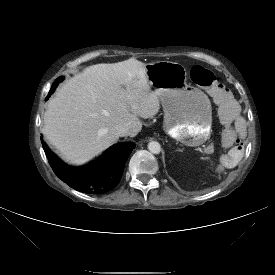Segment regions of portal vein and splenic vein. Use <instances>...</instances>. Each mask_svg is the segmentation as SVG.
<instances>
[{
    "label": "portal vein and splenic vein",
    "mask_w": 275,
    "mask_h": 275,
    "mask_svg": "<svg viewBox=\"0 0 275 275\" xmlns=\"http://www.w3.org/2000/svg\"><path fill=\"white\" fill-rule=\"evenodd\" d=\"M205 152L208 153V154L212 153L213 152V147L212 146L207 147L205 149Z\"/></svg>",
    "instance_id": "portal-vein-and-splenic-vein-1"
}]
</instances>
